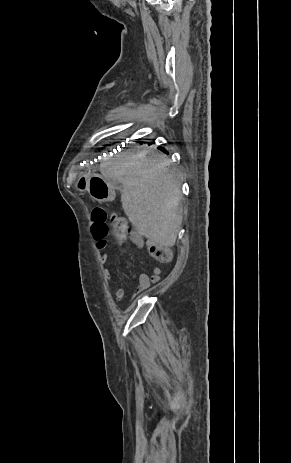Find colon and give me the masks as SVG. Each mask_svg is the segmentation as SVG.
Segmentation results:
<instances>
[{
	"label": "colon",
	"mask_w": 291,
	"mask_h": 463,
	"mask_svg": "<svg viewBox=\"0 0 291 463\" xmlns=\"http://www.w3.org/2000/svg\"><path fill=\"white\" fill-rule=\"evenodd\" d=\"M91 234L96 241L98 249H104L107 244V237L114 234L118 240H126L131 237L132 230L128 222L114 214L110 215L102 206H95L90 211ZM149 253L159 262L166 264L172 259L170 249L165 246L151 243L148 245Z\"/></svg>",
	"instance_id": "obj_1"
}]
</instances>
